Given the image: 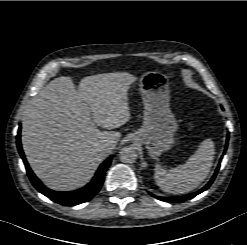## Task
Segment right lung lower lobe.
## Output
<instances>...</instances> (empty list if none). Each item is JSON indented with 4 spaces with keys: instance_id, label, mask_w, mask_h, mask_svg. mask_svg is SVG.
I'll return each instance as SVG.
<instances>
[{
    "instance_id": "98d812e1",
    "label": "right lung lower lobe",
    "mask_w": 247,
    "mask_h": 245,
    "mask_svg": "<svg viewBox=\"0 0 247 245\" xmlns=\"http://www.w3.org/2000/svg\"><path fill=\"white\" fill-rule=\"evenodd\" d=\"M20 131H21V126L19 127L17 138H16L17 147L23 159V162L25 164L30 181L40 193L47 196L49 199H51L54 202H57L64 206H68V205H77V204L87 202L99 192L104 182L105 172L107 168L110 166L111 160L113 158L112 155L100 165L93 180L86 187L81 188L76 191H72V192L53 191L45 187L30 169L26 161V158L24 156V153L22 151V148H21Z\"/></svg>"
}]
</instances>
